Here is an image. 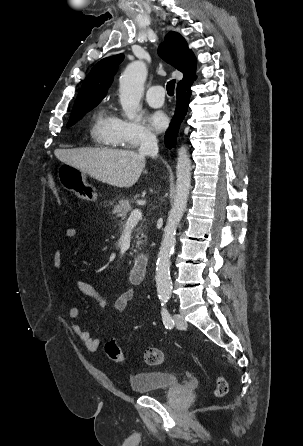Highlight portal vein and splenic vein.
I'll return each instance as SVG.
<instances>
[{"instance_id":"portal-vein-and-splenic-vein-1","label":"portal vein and splenic vein","mask_w":303,"mask_h":446,"mask_svg":"<svg viewBox=\"0 0 303 446\" xmlns=\"http://www.w3.org/2000/svg\"><path fill=\"white\" fill-rule=\"evenodd\" d=\"M142 218V212L139 209H135L131 212L129 218L127 219L126 224H134L137 223Z\"/></svg>"}]
</instances>
